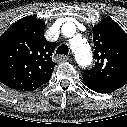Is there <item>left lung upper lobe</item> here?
Instances as JSON below:
<instances>
[{"label": "left lung upper lobe", "mask_w": 127, "mask_h": 127, "mask_svg": "<svg viewBox=\"0 0 127 127\" xmlns=\"http://www.w3.org/2000/svg\"><path fill=\"white\" fill-rule=\"evenodd\" d=\"M95 66L85 81H102L121 88L127 83V35L110 17L93 28Z\"/></svg>", "instance_id": "left-lung-upper-lobe-1"}]
</instances>
